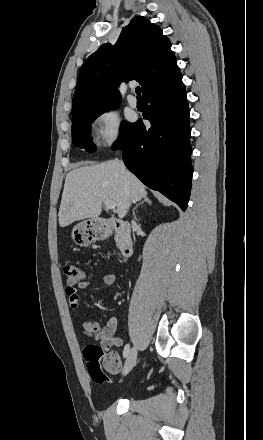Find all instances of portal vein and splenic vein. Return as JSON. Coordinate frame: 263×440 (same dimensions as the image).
Instances as JSON below:
<instances>
[{"label":"portal vein and splenic vein","mask_w":263,"mask_h":440,"mask_svg":"<svg viewBox=\"0 0 263 440\" xmlns=\"http://www.w3.org/2000/svg\"><path fill=\"white\" fill-rule=\"evenodd\" d=\"M104 204H105V207H106L107 209L115 210L116 205H115V203H114L112 200L105 199V200H104Z\"/></svg>","instance_id":"portal-vein-and-splenic-vein-1"}]
</instances>
